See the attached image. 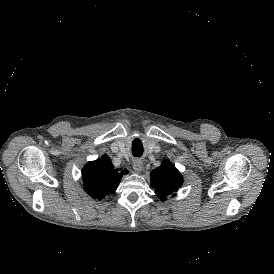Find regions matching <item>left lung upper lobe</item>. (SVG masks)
<instances>
[{
    "instance_id": "1",
    "label": "left lung upper lobe",
    "mask_w": 274,
    "mask_h": 274,
    "mask_svg": "<svg viewBox=\"0 0 274 274\" xmlns=\"http://www.w3.org/2000/svg\"><path fill=\"white\" fill-rule=\"evenodd\" d=\"M151 186L161 200L181 187L183 179L178 170L167 160L150 173Z\"/></svg>"
}]
</instances>
